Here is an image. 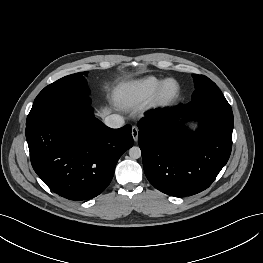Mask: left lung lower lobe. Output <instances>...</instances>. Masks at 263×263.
Masks as SVG:
<instances>
[{
	"instance_id": "obj_1",
	"label": "left lung lower lobe",
	"mask_w": 263,
	"mask_h": 263,
	"mask_svg": "<svg viewBox=\"0 0 263 263\" xmlns=\"http://www.w3.org/2000/svg\"><path fill=\"white\" fill-rule=\"evenodd\" d=\"M197 119L186 129L179 120ZM232 109L189 111L185 105L150 112L138 123V143L149 182L171 196L197 194L215 180L232 149Z\"/></svg>"
}]
</instances>
